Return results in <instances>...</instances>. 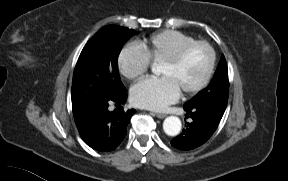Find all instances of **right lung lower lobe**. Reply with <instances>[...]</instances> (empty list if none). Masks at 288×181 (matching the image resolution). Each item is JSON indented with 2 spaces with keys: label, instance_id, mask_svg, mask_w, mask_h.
I'll return each mask as SVG.
<instances>
[{
  "label": "right lung lower lobe",
  "instance_id": "right-lung-lower-lobe-1",
  "mask_svg": "<svg viewBox=\"0 0 288 181\" xmlns=\"http://www.w3.org/2000/svg\"><path fill=\"white\" fill-rule=\"evenodd\" d=\"M127 91L102 100L94 104L82 127L78 128L83 141L91 148L98 151H113L123 141L126 128L131 116L136 112L134 109L124 111L123 107L109 111L111 101L125 103Z\"/></svg>",
  "mask_w": 288,
  "mask_h": 181
}]
</instances>
